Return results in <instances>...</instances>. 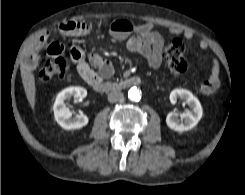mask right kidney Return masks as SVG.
Returning a JSON list of instances; mask_svg holds the SVG:
<instances>
[{"label": "right kidney", "instance_id": "obj_1", "mask_svg": "<svg viewBox=\"0 0 245 195\" xmlns=\"http://www.w3.org/2000/svg\"><path fill=\"white\" fill-rule=\"evenodd\" d=\"M87 95V90L83 87H68L62 90L56 97L53 111L56 122L65 130L80 129L88 124L86 115H76L72 118L71 111L66 107V100L74 97L83 99Z\"/></svg>", "mask_w": 245, "mask_h": 195}]
</instances>
